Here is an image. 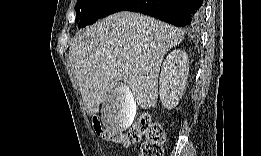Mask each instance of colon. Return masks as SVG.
I'll return each mask as SVG.
<instances>
[{
  "label": "colon",
  "instance_id": "obj_1",
  "mask_svg": "<svg viewBox=\"0 0 261 156\" xmlns=\"http://www.w3.org/2000/svg\"><path fill=\"white\" fill-rule=\"evenodd\" d=\"M98 135L105 141H109L124 147L140 142L142 143L141 156H161L163 155L164 134L159 122L153 121L149 114H143L138 121L126 131L109 130L99 123L95 124Z\"/></svg>",
  "mask_w": 261,
  "mask_h": 156
}]
</instances>
